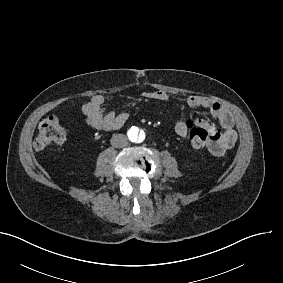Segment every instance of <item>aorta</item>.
<instances>
[{
	"label": "aorta",
	"mask_w": 283,
	"mask_h": 283,
	"mask_svg": "<svg viewBox=\"0 0 283 283\" xmlns=\"http://www.w3.org/2000/svg\"><path fill=\"white\" fill-rule=\"evenodd\" d=\"M128 137L131 142L142 143L145 140L146 134L139 127L132 126L128 131Z\"/></svg>",
	"instance_id": "aorta-1"
}]
</instances>
